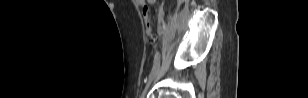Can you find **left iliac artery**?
I'll return each instance as SVG.
<instances>
[{"label":"left iliac artery","mask_w":308,"mask_h":98,"mask_svg":"<svg viewBox=\"0 0 308 98\" xmlns=\"http://www.w3.org/2000/svg\"><path fill=\"white\" fill-rule=\"evenodd\" d=\"M156 30L158 31V34L160 36H163V35H166L167 34V26L165 24H157L156 25ZM160 55H161V52L158 50L155 54V61H154V65H153V68H152V71L149 75V77L153 74H155L157 71H158V68H159V63H160Z\"/></svg>","instance_id":"obj_1"}]
</instances>
